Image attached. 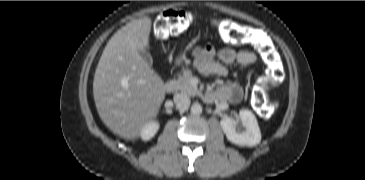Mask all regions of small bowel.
Instances as JSON below:
<instances>
[{"mask_svg":"<svg viewBox=\"0 0 365 180\" xmlns=\"http://www.w3.org/2000/svg\"><path fill=\"white\" fill-rule=\"evenodd\" d=\"M193 65L204 75L225 77L228 70L225 65L238 64L248 66L256 61L249 51H236L230 48L221 49L218 53L211 46L196 47L193 52ZM215 96L221 100L238 102L242 98V89L237 83H230L217 89Z\"/></svg>","mask_w":365,"mask_h":180,"instance_id":"1","label":"small bowel"}]
</instances>
